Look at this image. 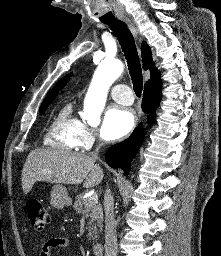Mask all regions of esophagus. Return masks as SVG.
Here are the masks:
<instances>
[{
  "mask_svg": "<svg viewBox=\"0 0 221 256\" xmlns=\"http://www.w3.org/2000/svg\"><path fill=\"white\" fill-rule=\"evenodd\" d=\"M124 21L126 22V24L128 25V27L130 28V30L132 31L133 35L138 38V32L136 27L134 26V24L132 23V21L129 18H125Z\"/></svg>",
  "mask_w": 221,
  "mask_h": 256,
  "instance_id": "34e87169",
  "label": "esophagus"
}]
</instances>
